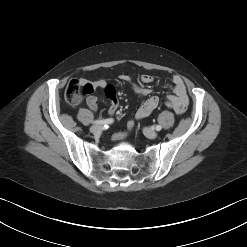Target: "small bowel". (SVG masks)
Here are the masks:
<instances>
[{"label": "small bowel", "mask_w": 247, "mask_h": 247, "mask_svg": "<svg viewBox=\"0 0 247 247\" xmlns=\"http://www.w3.org/2000/svg\"><path fill=\"white\" fill-rule=\"evenodd\" d=\"M121 80L130 84L133 92L141 97H146L151 94V89L142 87L136 83H134L130 76L122 75ZM141 81L145 84H149L153 81V77L151 75L144 74L141 76ZM172 85H173V94L169 95L167 99L171 100L175 104V112L177 114H183L189 104V98L187 95L186 85L183 79L175 75L172 77ZM80 83L82 85H89L94 90L95 88L103 89L105 96L109 102V113L114 114L118 109V100L116 96L115 88L108 84L105 80H97V81H90L87 79H81ZM159 100L156 96H149L142 105L137 109L135 113L136 119H142L149 116L158 106ZM87 106L92 110H97L98 107V98L94 95H89L86 98ZM133 121H128V129L131 130L133 128ZM122 134H116L115 138L121 137Z\"/></svg>", "instance_id": "obj_1"}]
</instances>
